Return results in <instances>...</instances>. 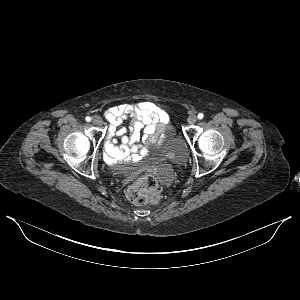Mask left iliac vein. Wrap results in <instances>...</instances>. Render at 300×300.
Returning <instances> with one entry per match:
<instances>
[{"instance_id":"1","label":"left iliac vein","mask_w":300,"mask_h":300,"mask_svg":"<svg viewBox=\"0 0 300 300\" xmlns=\"http://www.w3.org/2000/svg\"><path fill=\"white\" fill-rule=\"evenodd\" d=\"M197 121V116L195 114H191L189 117H188V123L190 125H193L195 122Z\"/></svg>"}]
</instances>
